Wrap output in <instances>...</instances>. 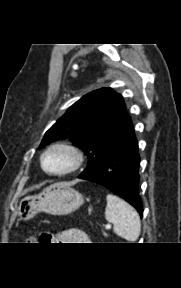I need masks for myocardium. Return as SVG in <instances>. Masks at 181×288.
<instances>
[{"mask_svg":"<svg viewBox=\"0 0 181 288\" xmlns=\"http://www.w3.org/2000/svg\"><path fill=\"white\" fill-rule=\"evenodd\" d=\"M54 150L65 151L71 157V163L66 169L61 170V171H56V172H52V171H49L46 169L45 158L50 152H52ZM83 162H84V155H83V152L81 151V149L79 147H77L75 144H73L71 142H67V141H59V142H55V143L50 144L42 152V154L40 156L41 168L46 174H48L50 176H65V175H69L71 173H74L82 166Z\"/></svg>","mask_w":181,"mask_h":288,"instance_id":"myocardium-1","label":"myocardium"}]
</instances>
